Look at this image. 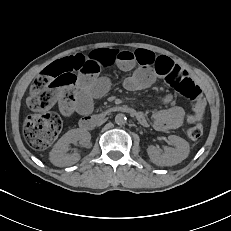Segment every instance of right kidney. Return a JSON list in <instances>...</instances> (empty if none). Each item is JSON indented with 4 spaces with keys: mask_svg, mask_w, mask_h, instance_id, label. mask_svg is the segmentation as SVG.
<instances>
[{
    "mask_svg": "<svg viewBox=\"0 0 231 231\" xmlns=\"http://www.w3.org/2000/svg\"><path fill=\"white\" fill-rule=\"evenodd\" d=\"M91 135L89 132L81 129H72L65 133L55 144L52 151L50 152V161L55 166L63 167L75 164L80 160V154L74 152L68 154L69 145L71 143H79L83 146L90 144Z\"/></svg>",
    "mask_w": 231,
    "mask_h": 231,
    "instance_id": "1",
    "label": "right kidney"
}]
</instances>
